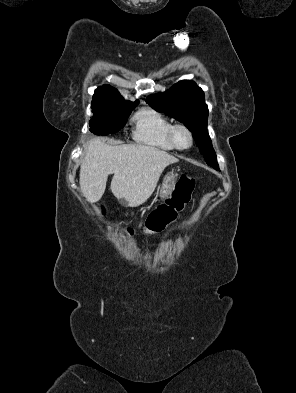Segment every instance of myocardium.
Segmentation results:
<instances>
[{
	"mask_svg": "<svg viewBox=\"0 0 296 393\" xmlns=\"http://www.w3.org/2000/svg\"><path fill=\"white\" fill-rule=\"evenodd\" d=\"M183 129L189 136V144L186 147H182L178 144L177 139H176V133L178 130ZM170 140L171 143L173 144V146L178 149V150H187L189 148L192 147L193 143H194V136L193 133L191 131V129L183 123H177V124H173L170 130Z\"/></svg>",
	"mask_w": 296,
	"mask_h": 393,
	"instance_id": "myocardium-1",
	"label": "myocardium"
}]
</instances>
